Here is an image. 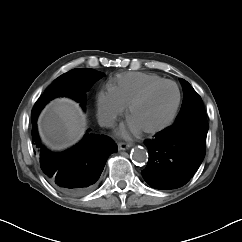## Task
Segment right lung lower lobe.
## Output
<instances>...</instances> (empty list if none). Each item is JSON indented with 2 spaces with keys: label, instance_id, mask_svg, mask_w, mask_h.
Segmentation results:
<instances>
[{
  "label": "right lung lower lobe",
  "instance_id": "98d812e1",
  "mask_svg": "<svg viewBox=\"0 0 242 242\" xmlns=\"http://www.w3.org/2000/svg\"><path fill=\"white\" fill-rule=\"evenodd\" d=\"M32 117V139L39 151L40 166L49 182L68 195L91 191L104 169L107 158L117 145L105 135L89 134L75 146L63 152H52L42 145Z\"/></svg>",
  "mask_w": 242,
  "mask_h": 242
}]
</instances>
